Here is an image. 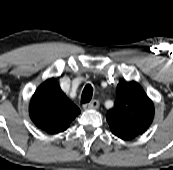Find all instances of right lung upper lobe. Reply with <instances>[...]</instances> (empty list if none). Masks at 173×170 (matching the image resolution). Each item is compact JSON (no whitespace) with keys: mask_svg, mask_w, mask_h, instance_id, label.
<instances>
[{"mask_svg":"<svg viewBox=\"0 0 173 170\" xmlns=\"http://www.w3.org/2000/svg\"><path fill=\"white\" fill-rule=\"evenodd\" d=\"M34 124L49 134L66 130L80 109L71 102L54 78L46 80L35 91L29 106Z\"/></svg>","mask_w":173,"mask_h":170,"instance_id":"cb5924a9","label":"right lung upper lobe"}]
</instances>
